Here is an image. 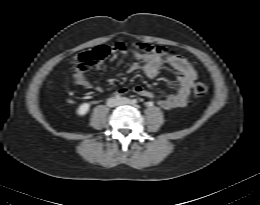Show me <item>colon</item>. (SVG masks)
<instances>
[{
    "label": "colon",
    "mask_w": 260,
    "mask_h": 205,
    "mask_svg": "<svg viewBox=\"0 0 260 205\" xmlns=\"http://www.w3.org/2000/svg\"><path fill=\"white\" fill-rule=\"evenodd\" d=\"M131 47L147 54H154L159 57H168L177 55L175 52L168 50L164 46H156L148 43L137 42L130 45ZM125 45L122 43L113 46L114 49L122 50ZM108 48L106 46H97L89 51L78 54L73 62L75 69L78 72H86L95 67L99 62L104 60L108 55ZM193 94L196 97H203L208 92V86L203 82H198L193 86Z\"/></svg>",
    "instance_id": "obj_1"
}]
</instances>
